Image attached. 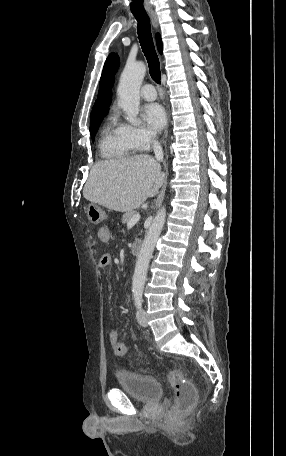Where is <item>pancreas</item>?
<instances>
[{
	"label": "pancreas",
	"mask_w": 286,
	"mask_h": 456,
	"mask_svg": "<svg viewBox=\"0 0 286 456\" xmlns=\"http://www.w3.org/2000/svg\"><path fill=\"white\" fill-rule=\"evenodd\" d=\"M134 214H135V211H133V210L125 213L122 217V223L123 224L128 223Z\"/></svg>",
	"instance_id": "pancreas-1"
}]
</instances>
